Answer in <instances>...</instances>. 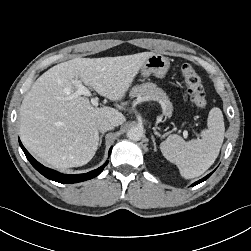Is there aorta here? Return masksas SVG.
Segmentation results:
<instances>
[{"mask_svg": "<svg viewBox=\"0 0 251 251\" xmlns=\"http://www.w3.org/2000/svg\"><path fill=\"white\" fill-rule=\"evenodd\" d=\"M143 136V129L140 127H132L127 132V137L133 141L141 140Z\"/></svg>", "mask_w": 251, "mask_h": 251, "instance_id": "aorta-1", "label": "aorta"}]
</instances>
